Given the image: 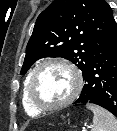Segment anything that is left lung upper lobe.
Masks as SVG:
<instances>
[{
  "label": "left lung upper lobe",
  "mask_w": 117,
  "mask_h": 131,
  "mask_svg": "<svg viewBox=\"0 0 117 131\" xmlns=\"http://www.w3.org/2000/svg\"><path fill=\"white\" fill-rule=\"evenodd\" d=\"M112 9L105 0H54L37 18L21 69L43 57H62L84 74L104 45Z\"/></svg>",
  "instance_id": "5c2ea615"
}]
</instances>
